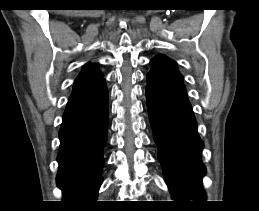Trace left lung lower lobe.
I'll list each match as a JSON object with an SVG mask.
<instances>
[{
	"label": "left lung lower lobe",
	"mask_w": 259,
	"mask_h": 211,
	"mask_svg": "<svg viewBox=\"0 0 259 211\" xmlns=\"http://www.w3.org/2000/svg\"><path fill=\"white\" fill-rule=\"evenodd\" d=\"M146 102L158 158L173 198L205 200L203 141L183 84L147 75Z\"/></svg>",
	"instance_id": "1"
}]
</instances>
